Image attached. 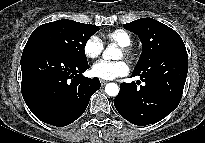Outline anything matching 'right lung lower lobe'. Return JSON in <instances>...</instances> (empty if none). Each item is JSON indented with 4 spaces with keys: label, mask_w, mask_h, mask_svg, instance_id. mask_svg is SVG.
<instances>
[{
    "label": "right lung lower lobe",
    "mask_w": 205,
    "mask_h": 143,
    "mask_svg": "<svg viewBox=\"0 0 205 143\" xmlns=\"http://www.w3.org/2000/svg\"><path fill=\"white\" fill-rule=\"evenodd\" d=\"M88 68L87 62L71 59L49 44L28 41L21 57V91L30 111L53 126L74 122L101 86L98 78L82 75Z\"/></svg>",
    "instance_id": "1"
}]
</instances>
